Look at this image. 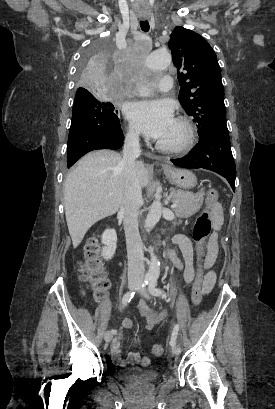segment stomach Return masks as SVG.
<instances>
[{
	"label": "stomach",
	"instance_id": "0dacf381",
	"mask_svg": "<svg viewBox=\"0 0 275 409\" xmlns=\"http://www.w3.org/2000/svg\"><path fill=\"white\" fill-rule=\"evenodd\" d=\"M163 170L166 174V178H169L172 184L180 186V188H192L197 184V178L191 170L186 168H173L169 164H164Z\"/></svg>",
	"mask_w": 275,
	"mask_h": 409
}]
</instances>
